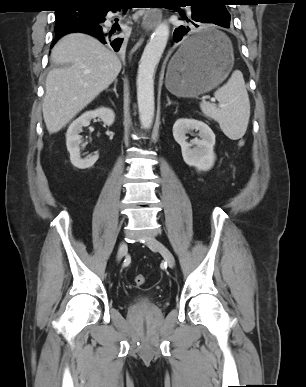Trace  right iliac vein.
I'll return each instance as SVG.
<instances>
[{
	"instance_id": "right-iliac-vein-1",
	"label": "right iliac vein",
	"mask_w": 306,
	"mask_h": 387,
	"mask_svg": "<svg viewBox=\"0 0 306 387\" xmlns=\"http://www.w3.org/2000/svg\"><path fill=\"white\" fill-rule=\"evenodd\" d=\"M126 250H127V245L124 241H122L118 248V253H117L118 261H120L123 258L124 254L126 253Z\"/></svg>"
}]
</instances>
